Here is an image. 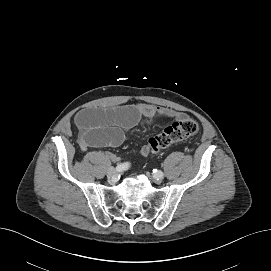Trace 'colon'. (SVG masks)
Wrapping results in <instances>:
<instances>
[{
    "instance_id": "5ec220e1",
    "label": "colon",
    "mask_w": 271,
    "mask_h": 271,
    "mask_svg": "<svg viewBox=\"0 0 271 271\" xmlns=\"http://www.w3.org/2000/svg\"><path fill=\"white\" fill-rule=\"evenodd\" d=\"M198 131V123L189 116L174 122L157 136L148 140L149 153L156 154L170 145L194 135Z\"/></svg>"
}]
</instances>
